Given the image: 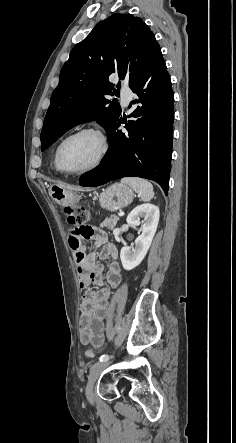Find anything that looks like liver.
I'll use <instances>...</instances> for the list:
<instances>
[{"instance_id": "liver-1", "label": "liver", "mask_w": 236, "mask_h": 443, "mask_svg": "<svg viewBox=\"0 0 236 443\" xmlns=\"http://www.w3.org/2000/svg\"><path fill=\"white\" fill-rule=\"evenodd\" d=\"M60 186H63V187H65V188H69L68 186H66V185H62V184H61Z\"/></svg>"}]
</instances>
